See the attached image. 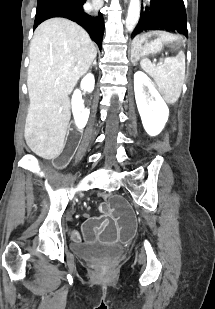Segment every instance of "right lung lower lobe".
<instances>
[{
    "instance_id": "right-lung-lower-lobe-1",
    "label": "right lung lower lobe",
    "mask_w": 215,
    "mask_h": 309,
    "mask_svg": "<svg viewBox=\"0 0 215 309\" xmlns=\"http://www.w3.org/2000/svg\"><path fill=\"white\" fill-rule=\"evenodd\" d=\"M84 2L69 3L59 0H51L37 6L34 29L47 19L54 17L67 18L81 25L101 49L104 33L103 16L101 13H99L98 17H92L86 14L83 11Z\"/></svg>"
}]
</instances>
